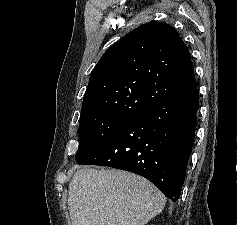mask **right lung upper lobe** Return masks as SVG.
<instances>
[{
  "label": "right lung upper lobe",
  "mask_w": 237,
  "mask_h": 225,
  "mask_svg": "<svg viewBox=\"0 0 237 225\" xmlns=\"http://www.w3.org/2000/svg\"><path fill=\"white\" fill-rule=\"evenodd\" d=\"M195 85L189 49L176 30L146 23L102 55L91 72L80 119L134 116Z\"/></svg>",
  "instance_id": "1"
}]
</instances>
